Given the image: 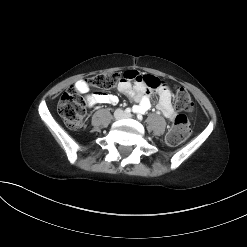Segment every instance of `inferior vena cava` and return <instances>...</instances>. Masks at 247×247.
<instances>
[{
	"label": "inferior vena cava",
	"instance_id": "obj_1",
	"mask_svg": "<svg viewBox=\"0 0 247 247\" xmlns=\"http://www.w3.org/2000/svg\"><path fill=\"white\" fill-rule=\"evenodd\" d=\"M116 113H119L120 117L124 116V113H122L121 111H117Z\"/></svg>",
	"mask_w": 247,
	"mask_h": 247
}]
</instances>
